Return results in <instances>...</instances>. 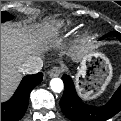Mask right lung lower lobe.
<instances>
[{
    "label": "right lung lower lobe",
    "mask_w": 121,
    "mask_h": 121,
    "mask_svg": "<svg viewBox=\"0 0 121 121\" xmlns=\"http://www.w3.org/2000/svg\"><path fill=\"white\" fill-rule=\"evenodd\" d=\"M43 74L28 75L23 78L15 94L7 102L1 103V121H18L25 114L31 90L42 81Z\"/></svg>",
    "instance_id": "1"
}]
</instances>
